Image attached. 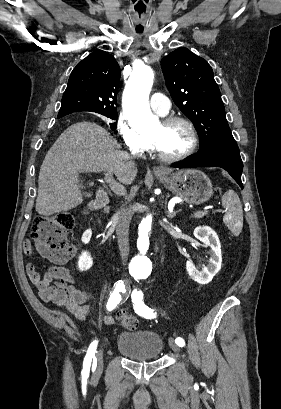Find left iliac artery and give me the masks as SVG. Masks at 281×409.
I'll return each mask as SVG.
<instances>
[{"label":"left iliac artery","instance_id":"left-iliac-artery-1","mask_svg":"<svg viewBox=\"0 0 281 409\" xmlns=\"http://www.w3.org/2000/svg\"><path fill=\"white\" fill-rule=\"evenodd\" d=\"M132 301L134 303V309L136 313L144 318H154L155 314L153 311L147 307L143 302V293L140 290H133L131 294ZM176 344L180 347L185 345V341L181 337H177L175 340Z\"/></svg>","mask_w":281,"mask_h":409}]
</instances>
